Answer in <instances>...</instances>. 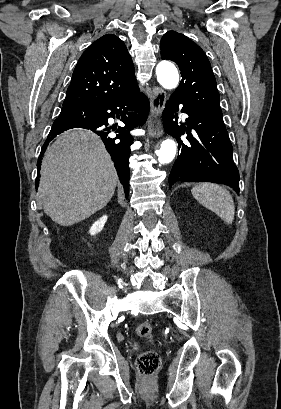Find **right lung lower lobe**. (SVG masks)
<instances>
[{
	"mask_svg": "<svg viewBox=\"0 0 281 409\" xmlns=\"http://www.w3.org/2000/svg\"><path fill=\"white\" fill-rule=\"evenodd\" d=\"M149 112V101L140 93L138 87L116 98L86 105H63L60 116H77L84 121L76 125H53L48 138L42 147L38 159V172L40 171L41 157L48 143L57 135L71 128L90 129L102 138L107 151L110 153L118 176L124 186L126 197L129 194V154L133 138L130 135L138 123H143ZM135 113L140 117L136 118ZM121 115L122 126H108V118ZM114 134L116 136H114ZM38 187V177L36 179Z\"/></svg>",
	"mask_w": 281,
	"mask_h": 409,
	"instance_id": "98d812e1",
	"label": "right lung lower lobe"
}]
</instances>
